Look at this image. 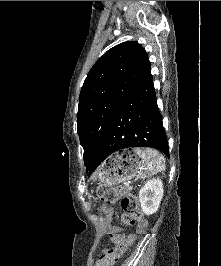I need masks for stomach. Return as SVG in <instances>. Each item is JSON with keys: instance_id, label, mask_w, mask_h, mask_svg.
<instances>
[{"instance_id": "0dacf381", "label": "stomach", "mask_w": 221, "mask_h": 266, "mask_svg": "<svg viewBox=\"0 0 221 266\" xmlns=\"http://www.w3.org/2000/svg\"><path fill=\"white\" fill-rule=\"evenodd\" d=\"M136 149H125L108 157L98 169L100 182L114 186L130 181L144 164Z\"/></svg>"}]
</instances>
